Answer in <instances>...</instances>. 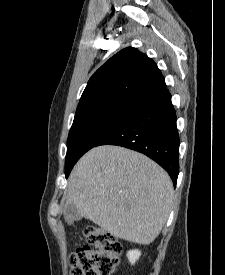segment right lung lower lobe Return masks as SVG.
Instances as JSON below:
<instances>
[{"label": "right lung lower lobe", "mask_w": 225, "mask_h": 275, "mask_svg": "<svg viewBox=\"0 0 225 275\" xmlns=\"http://www.w3.org/2000/svg\"><path fill=\"white\" fill-rule=\"evenodd\" d=\"M117 145L145 154L170 175L174 186L179 173V135L171 95L130 113L97 144Z\"/></svg>", "instance_id": "1"}]
</instances>
